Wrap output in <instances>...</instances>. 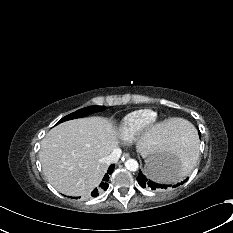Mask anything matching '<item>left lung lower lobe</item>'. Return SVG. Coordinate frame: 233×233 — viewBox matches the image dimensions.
Instances as JSON below:
<instances>
[{"label": "left lung lower lobe", "instance_id": "left-lung-lower-lobe-1", "mask_svg": "<svg viewBox=\"0 0 233 233\" xmlns=\"http://www.w3.org/2000/svg\"><path fill=\"white\" fill-rule=\"evenodd\" d=\"M199 135H201L200 131H199ZM164 168H169L170 165L166 164L164 166H162ZM137 181L139 183V185L142 188H147V189H151V190H165L168 189L170 187L175 188L177 186H179L180 184H183L186 182V180H184L181 183L178 184H165L166 182H170V181H164V182H157L155 181V179L151 176L150 171H145L142 172L141 170L139 171V175L137 177Z\"/></svg>", "mask_w": 233, "mask_h": 233}]
</instances>
